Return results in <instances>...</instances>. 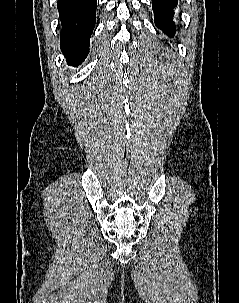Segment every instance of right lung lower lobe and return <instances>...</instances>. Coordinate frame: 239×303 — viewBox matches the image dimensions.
<instances>
[{"mask_svg":"<svg viewBox=\"0 0 239 303\" xmlns=\"http://www.w3.org/2000/svg\"><path fill=\"white\" fill-rule=\"evenodd\" d=\"M61 50L69 65L80 64L89 52L96 22L97 0H58Z\"/></svg>","mask_w":239,"mask_h":303,"instance_id":"98d812e1","label":"right lung lower lobe"}]
</instances>
